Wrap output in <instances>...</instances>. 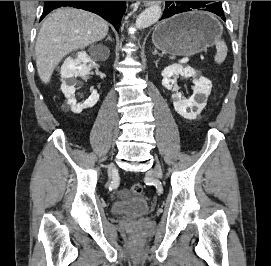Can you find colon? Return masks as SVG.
Here are the masks:
<instances>
[{
  "label": "colon",
  "mask_w": 271,
  "mask_h": 266,
  "mask_svg": "<svg viewBox=\"0 0 271 266\" xmlns=\"http://www.w3.org/2000/svg\"><path fill=\"white\" fill-rule=\"evenodd\" d=\"M131 191L137 195V196H141L143 195L144 193V187L142 184L140 183H134L132 186H131Z\"/></svg>",
  "instance_id": "colon-1"
}]
</instances>
